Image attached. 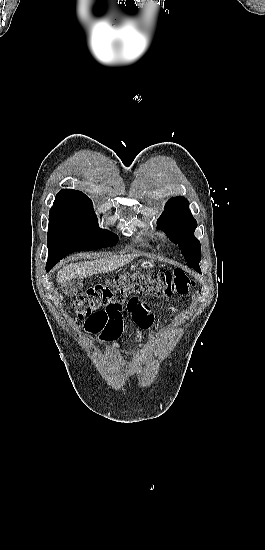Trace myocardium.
<instances>
[{"mask_svg": "<svg viewBox=\"0 0 265 550\" xmlns=\"http://www.w3.org/2000/svg\"><path fill=\"white\" fill-rule=\"evenodd\" d=\"M160 237H161V238H163V237H164V235H163V234H161V235H160Z\"/></svg>", "mask_w": 265, "mask_h": 550, "instance_id": "myocardium-1", "label": "myocardium"}]
</instances>
